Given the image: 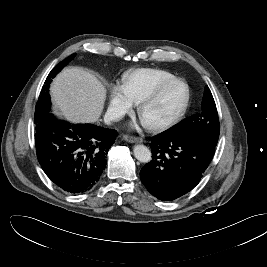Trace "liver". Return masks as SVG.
<instances>
[{
	"label": "liver",
	"mask_w": 267,
	"mask_h": 267,
	"mask_svg": "<svg viewBox=\"0 0 267 267\" xmlns=\"http://www.w3.org/2000/svg\"><path fill=\"white\" fill-rule=\"evenodd\" d=\"M51 96L58 115L75 123H94L103 112L106 88L90 72L72 67L55 77Z\"/></svg>",
	"instance_id": "6515ba94"
}]
</instances>
